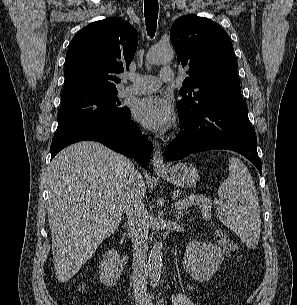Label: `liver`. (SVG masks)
<instances>
[{
    "instance_id": "liver-1",
    "label": "liver",
    "mask_w": 297,
    "mask_h": 305,
    "mask_svg": "<svg viewBox=\"0 0 297 305\" xmlns=\"http://www.w3.org/2000/svg\"><path fill=\"white\" fill-rule=\"evenodd\" d=\"M130 161L85 141L59 152L49 165L48 217L57 280H70L119 226ZM139 188L146 193L143 178Z\"/></svg>"
}]
</instances>
